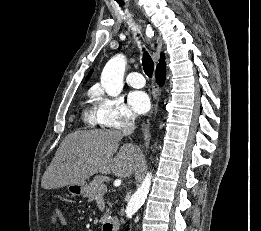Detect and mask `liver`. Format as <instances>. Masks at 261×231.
Returning a JSON list of instances; mask_svg holds the SVG:
<instances>
[{
    "instance_id": "6515ba94",
    "label": "liver",
    "mask_w": 261,
    "mask_h": 231,
    "mask_svg": "<svg viewBox=\"0 0 261 231\" xmlns=\"http://www.w3.org/2000/svg\"><path fill=\"white\" fill-rule=\"evenodd\" d=\"M123 134L118 130H89L65 137L45 171L41 186L51 190L85 183L95 173L130 177L143 161V154L133 144L119 149ZM119 149V151H118Z\"/></svg>"
}]
</instances>
